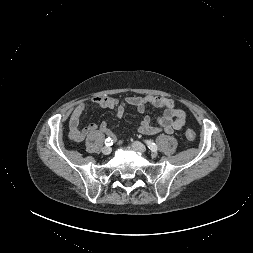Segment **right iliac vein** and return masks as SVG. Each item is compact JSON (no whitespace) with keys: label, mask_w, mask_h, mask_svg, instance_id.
Masks as SVG:
<instances>
[{"label":"right iliac vein","mask_w":253,"mask_h":253,"mask_svg":"<svg viewBox=\"0 0 253 253\" xmlns=\"http://www.w3.org/2000/svg\"><path fill=\"white\" fill-rule=\"evenodd\" d=\"M102 153H103L104 155H109V154L111 153V148L108 147V146L103 147V148H102Z\"/></svg>","instance_id":"obj_1"}]
</instances>
